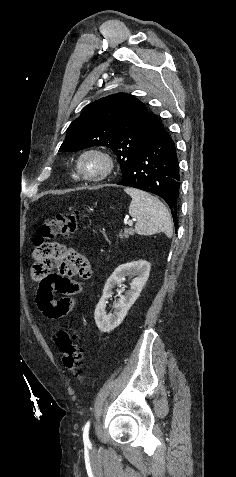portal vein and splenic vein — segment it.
<instances>
[{"label":"portal vein and splenic vein","mask_w":236,"mask_h":477,"mask_svg":"<svg viewBox=\"0 0 236 477\" xmlns=\"http://www.w3.org/2000/svg\"><path fill=\"white\" fill-rule=\"evenodd\" d=\"M133 222H134V220H129V221H125V224H128L129 226H132Z\"/></svg>","instance_id":"portal-vein-and-splenic-vein-1"}]
</instances>
